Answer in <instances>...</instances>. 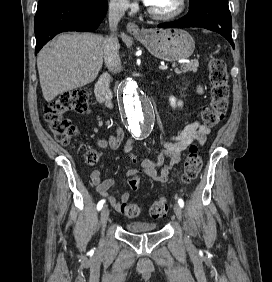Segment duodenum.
<instances>
[{"label": "duodenum", "mask_w": 272, "mask_h": 282, "mask_svg": "<svg viewBox=\"0 0 272 282\" xmlns=\"http://www.w3.org/2000/svg\"><path fill=\"white\" fill-rule=\"evenodd\" d=\"M110 80V74L104 73L96 83L95 95L98 102L105 104L108 108L112 109V93L109 89Z\"/></svg>", "instance_id": "obj_1"}]
</instances>
